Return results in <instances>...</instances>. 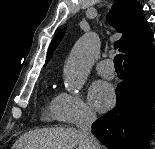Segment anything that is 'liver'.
I'll use <instances>...</instances> for the list:
<instances>
[{"label": "liver", "instance_id": "liver-1", "mask_svg": "<svg viewBox=\"0 0 155 149\" xmlns=\"http://www.w3.org/2000/svg\"><path fill=\"white\" fill-rule=\"evenodd\" d=\"M87 149L79 129L50 128L29 131L14 143L12 149Z\"/></svg>", "mask_w": 155, "mask_h": 149}]
</instances>
